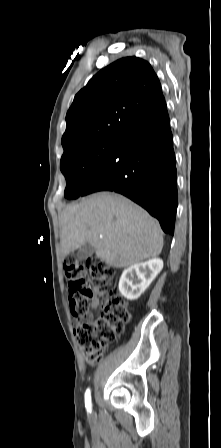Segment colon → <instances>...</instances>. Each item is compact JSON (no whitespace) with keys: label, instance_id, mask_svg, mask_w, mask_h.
I'll use <instances>...</instances> for the list:
<instances>
[{"label":"colon","instance_id":"5ec220e1","mask_svg":"<svg viewBox=\"0 0 221 448\" xmlns=\"http://www.w3.org/2000/svg\"><path fill=\"white\" fill-rule=\"evenodd\" d=\"M64 275L71 312L79 317L74 328L76 341L87 361L97 364L128 322V307L112 286L115 275L113 268L99 257L90 256L84 260L67 257L64 261ZM98 295H109V298L103 312L93 319L90 308Z\"/></svg>","mask_w":221,"mask_h":448}]
</instances>
